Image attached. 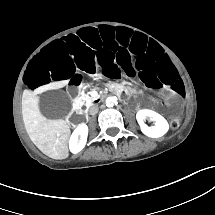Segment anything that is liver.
<instances>
[{
	"label": "liver",
	"instance_id": "1",
	"mask_svg": "<svg viewBox=\"0 0 215 215\" xmlns=\"http://www.w3.org/2000/svg\"><path fill=\"white\" fill-rule=\"evenodd\" d=\"M67 81L51 83L44 90L65 86ZM32 93L25 90L22 95V117L30 140L47 156L63 159L68 156L70 126L61 119L49 120L39 112L37 103L31 99Z\"/></svg>",
	"mask_w": 215,
	"mask_h": 215
}]
</instances>
